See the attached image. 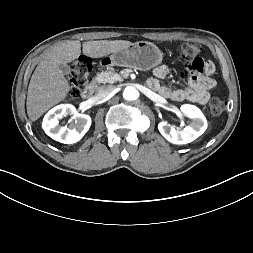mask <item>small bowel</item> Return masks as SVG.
Instances as JSON below:
<instances>
[{"label": "small bowel", "mask_w": 253, "mask_h": 253, "mask_svg": "<svg viewBox=\"0 0 253 253\" xmlns=\"http://www.w3.org/2000/svg\"><path fill=\"white\" fill-rule=\"evenodd\" d=\"M169 70L165 65L156 67L148 84L163 97L176 102L190 101L201 105L208 103L210 91L216 87V82L210 77L215 72V62L212 59L203 60L196 57L189 64L183 66L181 75L189 77V86L186 89H170L162 81L166 78Z\"/></svg>", "instance_id": "small-bowel-1"}]
</instances>
